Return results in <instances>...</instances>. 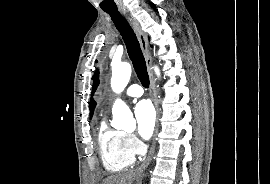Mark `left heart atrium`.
I'll list each match as a JSON object with an SVG mask.
<instances>
[{"instance_id":"39dd6f15","label":"left heart atrium","mask_w":270,"mask_h":184,"mask_svg":"<svg viewBox=\"0 0 270 184\" xmlns=\"http://www.w3.org/2000/svg\"><path fill=\"white\" fill-rule=\"evenodd\" d=\"M137 122L138 135L143 139H149L155 126V111L147 100L140 101L134 110Z\"/></svg>"}]
</instances>
